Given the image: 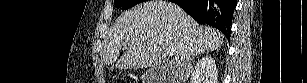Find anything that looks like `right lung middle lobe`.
Masks as SVG:
<instances>
[{
  "label": "right lung middle lobe",
  "mask_w": 307,
  "mask_h": 83,
  "mask_svg": "<svg viewBox=\"0 0 307 83\" xmlns=\"http://www.w3.org/2000/svg\"><path fill=\"white\" fill-rule=\"evenodd\" d=\"M144 0H115V5L117 8H122L123 10L133 7Z\"/></svg>",
  "instance_id": "1"
}]
</instances>
